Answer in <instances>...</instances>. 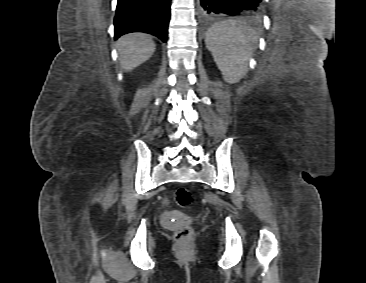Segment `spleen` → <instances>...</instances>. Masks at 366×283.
<instances>
[{
  "instance_id": "3e777b00",
  "label": "spleen",
  "mask_w": 366,
  "mask_h": 283,
  "mask_svg": "<svg viewBox=\"0 0 366 283\" xmlns=\"http://www.w3.org/2000/svg\"><path fill=\"white\" fill-rule=\"evenodd\" d=\"M255 37L250 26L235 20L215 23L208 29L206 47L227 83H237L247 74Z\"/></svg>"
}]
</instances>
